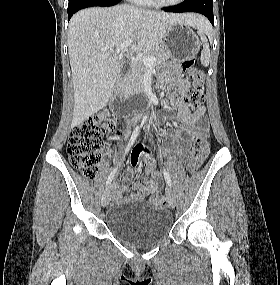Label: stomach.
Masks as SVG:
<instances>
[{"instance_id":"1","label":"stomach","mask_w":280,"mask_h":285,"mask_svg":"<svg viewBox=\"0 0 280 285\" xmlns=\"http://www.w3.org/2000/svg\"><path fill=\"white\" fill-rule=\"evenodd\" d=\"M169 57L186 60L194 57L200 49V40L193 30L184 23L171 25L163 38Z\"/></svg>"}]
</instances>
